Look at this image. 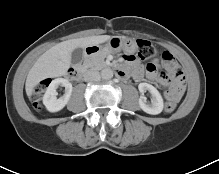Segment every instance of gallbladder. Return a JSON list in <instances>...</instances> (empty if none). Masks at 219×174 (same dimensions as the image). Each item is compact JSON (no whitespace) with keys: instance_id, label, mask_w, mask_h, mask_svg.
<instances>
[{"instance_id":"obj_1","label":"gallbladder","mask_w":219,"mask_h":174,"mask_svg":"<svg viewBox=\"0 0 219 174\" xmlns=\"http://www.w3.org/2000/svg\"><path fill=\"white\" fill-rule=\"evenodd\" d=\"M83 50L81 48H76L75 50H73V52L71 53V62L72 64H78L82 61L83 59Z\"/></svg>"}]
</instances>
